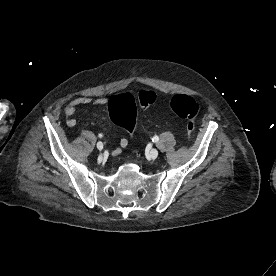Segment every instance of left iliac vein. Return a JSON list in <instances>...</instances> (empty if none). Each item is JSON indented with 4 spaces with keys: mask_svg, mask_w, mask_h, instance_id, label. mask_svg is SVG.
Instances as JSON below:
<instances>
[{
    "mask_svg": "<svg viewBox=\"0 0 276 276\" xmlns=\"http://www.w3.org/2000/svg\"><path fill=\"white\" fill-rule=\"evenodd\" d=\"M157 156H158V150H157V149H152V150L150 151V157H151L152 159H156Z\"/></svg>",
    "mask_w": 276,
    "mask_h": 276,
    "instance_id": "obj_1",
    "label": "left iliac vein"
}]
</instances>
